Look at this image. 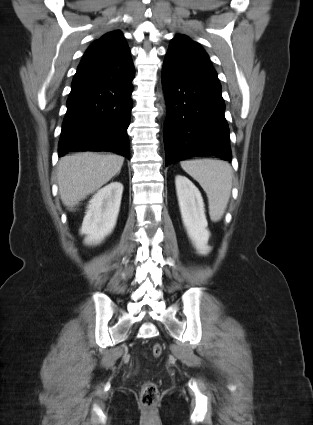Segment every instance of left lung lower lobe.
<instances>
[{"label":"left lung lower lobe","mask_w":313,"mask_h":425,"mask_svg":"<svg viewBox=\"0 0 313 425\" xmlns=\"http://www.w3.org/2000/svg\"><path fill=\"white\" fill-rule=\"evenodd\" d=\"M166 165L197 156L231 161L225 103L217 76L192 72L165 58Z\"/></svg>","instance_id":"obj_1"}]
</instances>
